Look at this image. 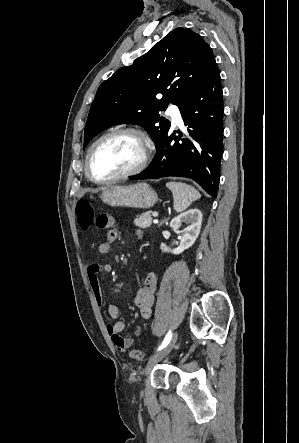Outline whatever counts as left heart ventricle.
Listing matches in <instances>:
<instances>
[{"instance_id":"left-heart-ventricle-1","label":"left heart ventricle","mask_w":299,"mask_h":443,"mask_svg":"<svg viewBox=\"0 0 299 443\" xmlns=\"http://www.w3.org/2000/svg\"><path fill=\"white\" fill-rule=\"evenodd\" d=\"M142 155V146L137 137L118 134L101 142L94 150L91 168L94 176L107 179L135 166Z\"/></svg>"}]
</instances>
